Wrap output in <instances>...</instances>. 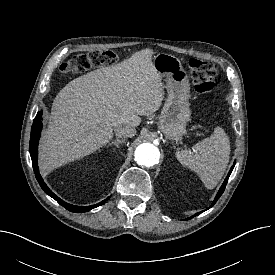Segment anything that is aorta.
<instances>
[{
    "label": "aorta",
    "mask_w": 275,
    "mask_h": 275,
    "mask_svg": "<svg viewBox=\"0 0 275 275\" xmlns=\"http://www.w3.org/2000/svg\"><path fill=\"white\" fill-rule=\"evenodd\" d=\"M134 156L138 165L151 167L158 163L160 152L155 145L151 143H143L136 148Z\"/></svg>",
    "instance_id": "1"
}]
</instances>
